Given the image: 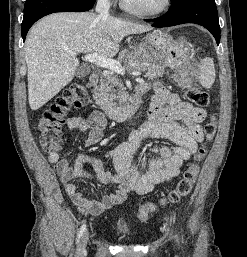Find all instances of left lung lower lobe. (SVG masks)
I'll use <instances>...</instances> for the list:
<instances>
[{
  "instance_id": "1",
  "label": "left lung lower lobe",
  "mask_w": 247,
  "mask_h": 257,
  "mask_svg": "<svg viewBox=\"0 0 247 257\" xmlns=\"http://www.w3.org/2000/svg\"><path fill=\"white\" fill-rule=\"evenodd\" d=\"M167 13L158 18L154 27H169L184 23L204 26L220 42L218 12L214 0H177L171 3Z\"/></svg>"
}]
</instances>
